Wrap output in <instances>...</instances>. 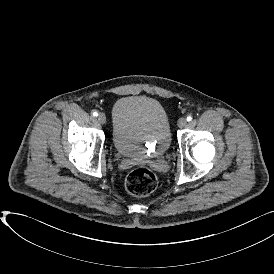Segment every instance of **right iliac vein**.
<instances>
[{
  "label": "right iliac vein",
  "mask_w": 274,
  "mask_h": 274,
  "mask_svg": "<svg viewBox=\"0 0 274 274\" xmlns=\"http://www.w3.org/2000/svg\"><path fill=\"white\" fill-rule=\"evenodd\" d=\"M98 121L101 123V124H105L106 123V116L105 114L103 113H100L97 117Z\"/></svg>",
  "instance_id": "1"
}]
</instances>
